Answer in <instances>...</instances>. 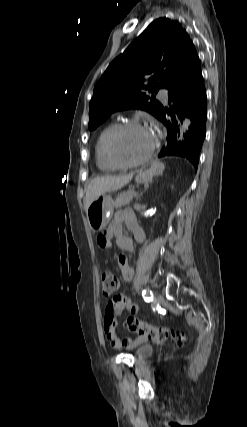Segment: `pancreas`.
Instances as JSON below:
<instances>
[{"label":"pancreas","mask_w":247,"mask_h":427,"mask_svg":"<svg viewBox=\"0 0 247 427\" xmlns=\"http://www.w3.org/2000/svg\"><path fill=\"white\" fill-rule=\"evenodd\" d=\"M134 197H137V193L134 190H129L120 194L119 196H117L114 202L115 208H120L122 206L130 204Z\"/></svg>","instance_id":"pancreas-1"}]
</instances>
